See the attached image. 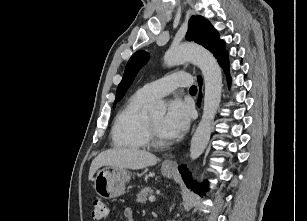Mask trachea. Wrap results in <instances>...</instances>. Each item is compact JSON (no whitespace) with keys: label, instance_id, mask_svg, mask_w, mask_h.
Wrapping results in <instances>:
<instances>
[{"label":"trachea","instance_id":"obj_1","mask_svg":"<svg viewBox=\"0 0 307 221\" xmlns=\"http://www.w3.org/2000/svg\"><path fill=\"white\" fill-rule=\"evenodd\" d=\"M189 91L191 93H196L197 92V87L193 85V86L190 87Z\"/></svg>","mask_w":307,"mask_h":221}]
</instances>
